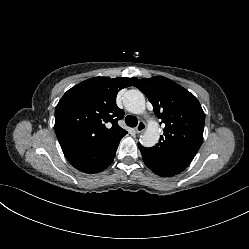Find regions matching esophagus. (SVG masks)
Listing matches in <instances>:
<instances>
[{
  "mask_svg": "<svg viewBox=\"0 0 249 249\" xmlns=\"http://www.w3.org/2000/svg\"><path fill=\"white\" fill-rule=\"evenodd\" d=\"M146 129V124L144 121H140L139 124L137 125V127L135 128L136 133H142L144 132Z\"/></svg>",
  "mask_w": 249,
  "mask_h": 249,
  "instance_id": "34e87169",
  "label": "esophagus"
}]
</instances>
